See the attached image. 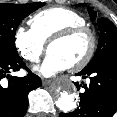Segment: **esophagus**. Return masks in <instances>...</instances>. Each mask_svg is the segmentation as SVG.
Here are the masks:
<instances>
[{"mask_svg": "<svg viewBox=\"0 0 117 117\" xmlns=\"http://www.w3.org/2000/svg\"><path fill=\"white\" fill-rule=\"evenodd\" d=\"M42 84H43L44 86L50 85V84H51V80L42 79Z\"/></svg>", "mask_w": 117, "mask_h": 117, "instance_id": "obj_1", "label": "esophagus"}]
</instances>
